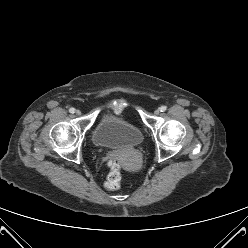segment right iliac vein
<instances>
[{"label": "right iliac vein", "mask_w": 248, "mask_h": 248, "mask_svg": "<svg viewBox=\"0 0 248 248\" xmlns=\"http://www.w3.org/2000/svg\"><path fill=\"white\" fill-rule=\"evenodd\" d=\"M75 113H76V115H78V116L81 115V111H80V110H76Z\"/></svg>", "instance_id": "obj_1"}]
</instances>
